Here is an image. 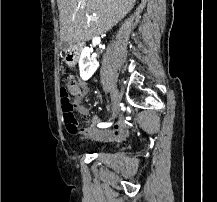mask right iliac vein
Masks as SVG:
<instances>
[{
    "instance_id": "obj_1",
    "label": "right iliac vein",
    "mask_w": 217,
    "mask_h": 202,
    "mask_svg": "<svg viewBox=\"0 0 217 202\" xmlns=\"http://www.w3.org/2000/svg\"><path fill=\"white\" fill-rule=\"evenodd\" d=\"M112 118H115L119 112V104L121 100V95L118 90L114 89L112 92Z\"/></svg>"
}]
</instances>
